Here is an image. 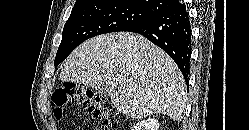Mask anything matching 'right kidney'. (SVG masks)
<instances>
[{
	"label": "right kidney",
	"instance_id": "right-kidney-1",
	"mask_svg": "<svg viewBox=\"0 0 249 130\" xmlns=\"http://www.w3.org/2000/svg\"><path fill=\"white\" fill-rule=\"evenodd\" d=\"M159 122L157 119H146L138 122L132 130H158Z\"/></svg>",
	"mask_w": 249,
	"mask_h": 130
}]
</instances>
